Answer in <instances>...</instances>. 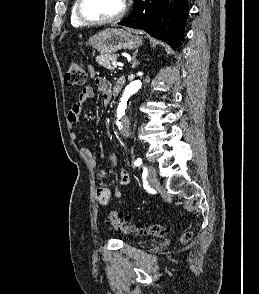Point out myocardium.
Returning a JSON list of instances; mask_svg holds the SVG:
<instances>
[{"label": "myocardium", "mask_w": 259, "mask_h": 294, "mask_svg": "<svg viewBox=\"0 0 259 294\" xmlns=\"http://www.w3.org/2000/svg\"><path fill=\"white\" fill-rule=\"evenodd\" d=\"M83 2L84 0H77L76 3V16L79 19V21L87 26H99V25H106V24H111L119 21L120 19L123 18V16L126 14L127 9H128V4L126 0H123V6L121 10L114 16L105 18V19H90L85 16L83 13Z\"/></svg>", "instance_id": "1"}]
</instances>
